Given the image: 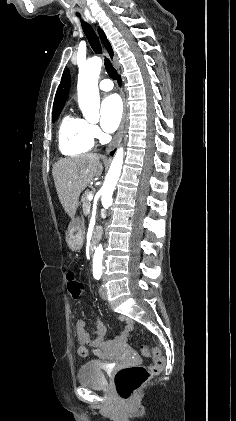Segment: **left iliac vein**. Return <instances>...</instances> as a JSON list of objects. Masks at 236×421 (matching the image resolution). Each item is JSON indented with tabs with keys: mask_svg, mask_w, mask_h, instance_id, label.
Returning <instances> with one entry per match:
<instances>
[{
	"mask_svg": "<svg viewBox=\"0 0 236 421\" xmlns=\"http://www.w3.org/2000/svg\"><path fill=\"white\" fill-rule=\"evenodd\" d=\"M99 292H100V296H101L102 299H104V300L108 299L107 290H106V287L104 286V284H102L100 286Z\"/></svg>",
	"mask_w": 236,
	"mask_h": 421,
	"instance_id": "left-iliac-vein-1",
	"label": "left iliac vein"
}]
</instances>
